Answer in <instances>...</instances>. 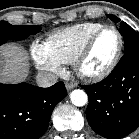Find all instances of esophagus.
Wrapping results in <instances>:
<instances>
[{"mask_svg": "<svg viewBox=\"0 0 139 139\" xmlns=\"http://www.w3.org/2000/svg\"><path fill=\"white\" fill-rule=\"evenodd\" d=\"M76 86H77V84L74 83V82H68V83H66V89L68 91H70L71 89L75 88Z\"/></svg>", "mask_w": 139, "mask_h": 139, "instance_id": "1", "label": "esophagus"}]
</instances>
